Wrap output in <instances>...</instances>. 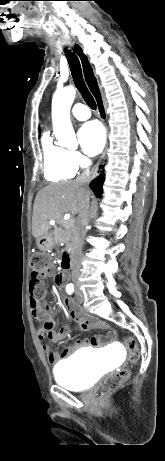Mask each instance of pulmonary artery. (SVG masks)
Masks as SVG:
<instances>
[{"instance_id":"pulmonary-artery-1","label":"pulmonary artery","mask_w":165,"mask_h":461,"mask_svg":"<svg viewBox=\"0 0 165 461\" xmlns=\"http://www.w3.org/2000/svg\"><path fill=\"white\" fill-rule=\"evenodd\" d=\"M72 115L78 120H86L90 117V111L83 104H76L71 110Z\"/></svg>"}]
</instances>
